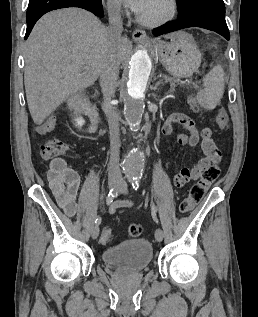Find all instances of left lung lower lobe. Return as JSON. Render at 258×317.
Masks as SVG:
<instances>
[{
    "label": "left lung lower lobe",
    "mask_w": 258,
    "mask_h": 317,
    "mask_svg": "<svg viewBox=\"0 0 258 317\" xmlns=\"http://www.w3.org/2000/svg\"><path fill=\"white\" fill-rule=\"evenodd\" d=\"M188 27L212 30L229 40L223 0H196L189 5L184 14L178 15L177 21H171L154 29L153 34L159 36Z\"/></svg>",
    "instance_id": "1"
}]
</instances>
